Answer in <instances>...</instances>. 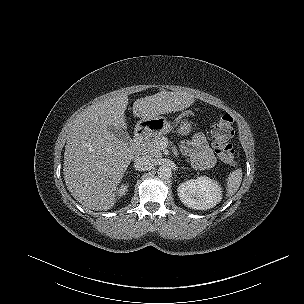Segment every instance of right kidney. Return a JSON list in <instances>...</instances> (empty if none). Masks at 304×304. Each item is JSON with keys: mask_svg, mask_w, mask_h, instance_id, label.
I'll list each match as a JSON object with an SVG mask.
<instances>
[{"mask_svg": "<svg viewBox=\"0 0 304 304\" xmlns=\"http://www.w3.org/2000/svg\"><path fill=\"white\" fill-rule=\"evenodd\" d=\"M123 188L121 189V194H124L125 192H126V189H127V186L125 185V186H122Z\"/></svg>", "mask_w": 304, "mask_h": 304, "instance_id": "1", "label": "right kidney"}]
</instances>
